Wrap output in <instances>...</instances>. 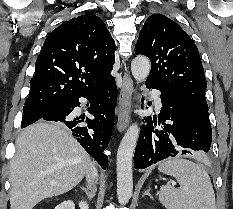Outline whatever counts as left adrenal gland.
Wrapping results in <instances>:
<instances>
[{
  "mask_svg": "<svg viewBox=\"0 0 233 209\" xmlns=\"http://www.w3.org/2000/svg\"><path fill=\"white\" fill-rule=\"evenodd\" d=\"M145 195H148V196L152 199V196H151V194H150V188H148V189L143 193L142 196H145Z\"/></svg>",
  "mask_w": 233,
  "mask_h": 209,
  "instance_id": "a2214340",
  "label": "left adrenal gland"
}]
</instances>
